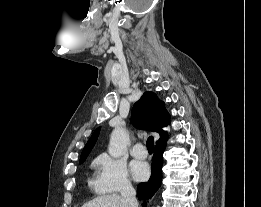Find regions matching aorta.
I'll list each match as a JSON object with an SVG mask.
<instances>
[{
    "label": "aorta",
    "instance_id": "aorta-1",
    "mask_svg": "<svg viewBox=\"0 0 261 207\" xmlns=\"http://www.w3.org/2000/svg\"><path fill=\"white\" fill-rule=\"evenodd\" d=\"M129 141V135L123 128H115L110 136L109 154L114 158L120 157Z\"/></svg>",
    "mask_w": 261,
    "mask_h": 207
}]
</instances>
